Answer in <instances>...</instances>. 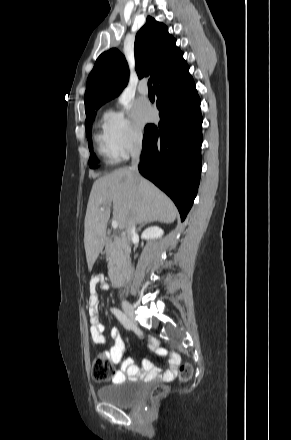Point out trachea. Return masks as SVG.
I'll return each mask as SVG.
<instances>
[{
  "label": "trachea",
  "mask_w": 291,
  "mask_h": 440,
  "mask_svg": "<svg viewBox=\"0 0 291 440\" xmlns=\"http://www.w3.org/2000/svg\"><path fill=\"white\" fill-rule=\"evenodd\" d=\"M148 87L152 88V80L151 79L148 80Z\"/></svg>",
  "instance_id": "3493384b"
}]
</instances>
